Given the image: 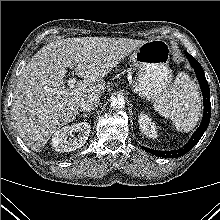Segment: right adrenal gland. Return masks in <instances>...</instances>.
<instances>
[{"label":"right adrenal gland","instance_id":"obj_1","mask_svg":"<svg viewBox=\"0 0 220 220\" xmlns=\"http://www.w3.org/2000/svg\"><path fill=\"white\" fill-rule=\"evenodd\" d=\"M89 116V114H86V113H83V117H88Z\"/></svg>","mask_w":220,"mask_h":220}]
</instances>
